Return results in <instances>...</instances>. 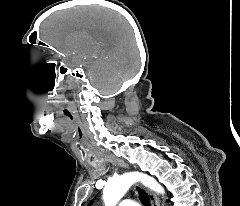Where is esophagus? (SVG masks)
<instances>
[{
  "label": "esophagus",
  "instance_id": "34e87169",
  "mask_svg": "<svg viewBox=\"0 0 240 206\" xmlns=\"http://www.w3.org/2000/svg\"><path fill=\"white\" fill-rule=\"evenodd\" d=\"M105 159L109 162H112L113 164H118L121 167L128 168V164L126 162H124L123 160H119V159L113 158V157H106ZM145 191L150 199L151 206H160V201H159V198L157 197V195L147 188H145Z\"/></svg>",
  "mask_w": 240,
  "mask_h": 206
}]
</instances>
